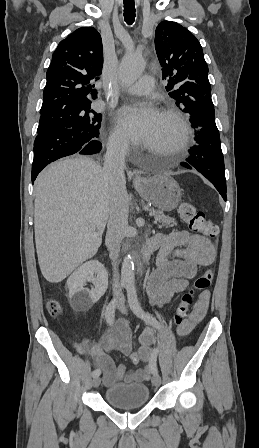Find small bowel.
Masks as SVG:
<instances>
[{"mask_svg": "<svg viewBox=\"0 0 259 448\" xmlns=\"http://www.w3.org/2000/svg\"><path fill=\"white\" fill-rule=\"evenodd\" d=\"M151 241L157 245L159 251L157 267L149 277L147 290L151 302L157 306L168 303L175 294L184 292L189 281L197 275L198 268L211 265L216 258L215 247L209 239L187 231L160 234ZM209 299V291L204 290L199 294L190 319L177 327L179 336L189 335L204 319ZM151 342L152 333L146 330L141 335L139 349L144 368L127 372L124 365L116 366L110 356L112 351L124 356L130 355L132 351L131 328L129 322L121 318L114 328L104 333L100 341L91 347L89 354L94 358L95 366L103 371V383L106 386L119 380L139 383L149 380L156 367L151 356Z\"/></svg>", "mask_w": 259, "mask_h": 448, "instance_id": "obj_1", "label": "small bowel"}]
</instances>
